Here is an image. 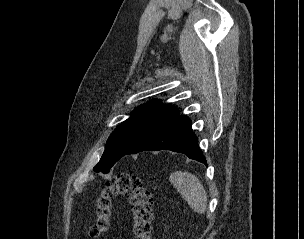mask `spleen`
Returning a JSON list of instances; mask_svg holds the SVG:
<instances>
[{
  "label": "spleen",
  "mask_w": 304,
  "mask_h": 239,
  "mask_svg": "<svg viewBox=\"0 0 304 239\" xmlns=\"http://www.w3.org/2000/svg\"><path fill=\"white\" fill-rule=\"evenodd\" d=\"M170 181L179 191L182 198L198 214L207 210V193L200 180L190 172H174Z\"/></svg>",
  "instance_id": "1"
}]
</instances>
